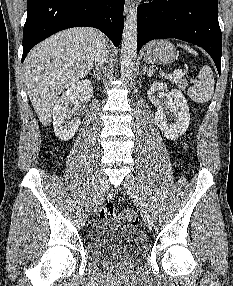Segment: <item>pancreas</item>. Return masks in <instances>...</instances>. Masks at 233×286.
I'll return each instance as SVG.
<instances>
[{
  "label": "pancreas",
  "instance_id": "obj_1",
  "mask_svg": "<svg viewBox=\"0 0 233 286\" xmlns=\"http://www.w3.org/2000/svg\"><path fill=\"white\" fill-rule=\"evenodd\" d=\"M170 79L172 82H174L180 89L184 90L186 86L188 85L187 81L182 77H167Z\"/></svg>",
  "mask_w": 233,
  "mask_h": 286
}]
</instances>
